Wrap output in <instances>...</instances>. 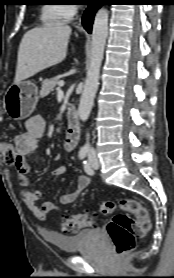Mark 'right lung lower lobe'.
<instances>
[{"mask_svg": "<svg viewBox=\"0 0 174 278\" xmlns=\"http://www.w3.org/2000/svg\"><path fill=\"white\" fill-rule=\"evenodd\" d=\"M103 0H92L89 3L88 8L84 12L83 18H82V24L84 28L91 33L92 31V24L94 20V15L96 11L100 8V6L103 4Z\"/></svg>", "mask_w": 174, "mask_h": 278, "instance_id": "1", "label": "right lung lower lobe"}]
</instances>
